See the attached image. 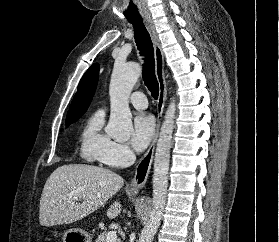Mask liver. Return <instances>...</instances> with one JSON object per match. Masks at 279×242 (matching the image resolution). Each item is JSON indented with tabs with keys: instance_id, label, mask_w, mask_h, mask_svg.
Listing matches in <instances>:
<instances>
[{
	"instance_id": "1",
	"label": "liver",
	"mask_w": 279,
	"mask_h": 242,
	"mask_svg": "<svg viewBox=\"0 0 279 242\" xmlns=\"http://www.w3.org/2000/svg\"><path fill=\"white\" fill-rule=\"evenodd\" d=\"M123 184L124 179L109 169L84 164L60 166L44 185L39 222L42 226H53L82 219L103 206ZM120 211L121 204L115 201L107 216L116 218Z\"/></svg>"
}]
</instances>
